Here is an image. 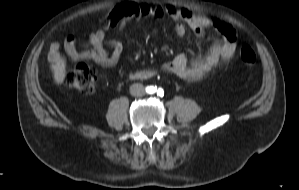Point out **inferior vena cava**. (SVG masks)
Here are the masks:
<instances>
[{
  "label": "inferior vena cava",
  "mask_w": 299,
  "mask_h": 190,
  "mask_svg": "<svg viewBox=\"0 0 299 190\" xmlns=\"http://www.w3.org/2000/svg\"><path fill=\"white\" fill-rule=\"evenodd\" d=\"M130 93L133 96H143L145 95V90L141 84H133L130 87Z\"/></svg>",
  "instance_id": "inferior-vena-cava-1"
}]
</instances>
